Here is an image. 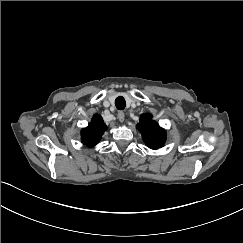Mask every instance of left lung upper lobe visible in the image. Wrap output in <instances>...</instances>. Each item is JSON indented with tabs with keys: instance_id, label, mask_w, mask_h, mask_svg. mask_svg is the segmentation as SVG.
Returning a JSON list of instances; mask_svg holds the SVG:
<instances>
[{
	"instance_id": "left-lung-upper-lobe-1",
	"label": "left lung upper lobe",
	"mask_w": 243,
	"mask_h": 243,
	"mask_svg": "<svg viewBox=\"0 0 243 243\" xmlns=\"http://www.w3.org/2000/svg\"><path fill=\"white\" fill-rule=\"evenodd\" d=\"M137 129L142 134L143 140L149 148L159 149L164 145L166 140L165 130L152 120L151 114L141 115Z\"/></svg>"
}]
</instances>
